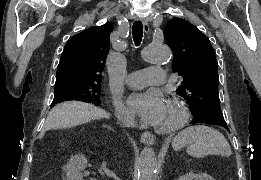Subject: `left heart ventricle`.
I'll return each mask as SVG.
<instances>
[{
  "label": "left heart ventricle",
  "mask_w": 261,
  "mask_h": 180,
  "mask_svg": "<svg viewBox=\"0 0 261 180\" xmlns=\"http://www.w3.org/2000/svg\"><path fill=\"white\" fill-rule=\"evenodd\" d=\"M174 113L175 107L168 100H165L163 108L152 124L159 127L167 126L172 121Z\"/></svg>",
  "instance_id": "b2bd125f"
}]
</instances>
